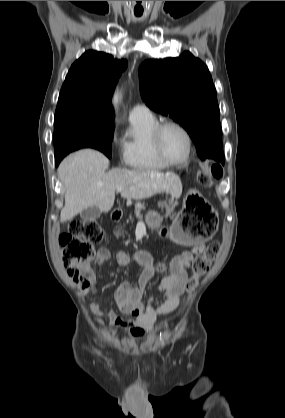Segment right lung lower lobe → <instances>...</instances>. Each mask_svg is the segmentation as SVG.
Wrapping results in <instances>:
<instances>
[{
    "label": "right lung lower lobe",
    "instance_id": "1",
    "mask_svg": "<svg viewBox=\"0 0 285 418\" xmlns=\"http://www.w3.org/2000/svg\"><path fill=\"white\" fill-rule=\"evenodd\" d=\"M62 159H63V158L55 159V164H56V166H58V164L60 163V161H61Z\"/></svg>",
    "mask_w": 285,
    "mask_h": 418
}]
</instances>
